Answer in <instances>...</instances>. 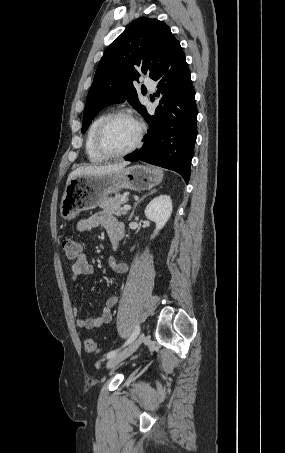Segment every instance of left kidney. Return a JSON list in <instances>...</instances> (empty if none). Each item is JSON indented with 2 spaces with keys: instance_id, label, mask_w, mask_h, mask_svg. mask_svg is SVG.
Instances as JSON below:
<instances>
[{
  "instance_id": "1",
  "label": "left kidney",
  "mask_w": 285,
  "mask_h": 453,
  "mask_svg": "<svg viewBox=\"0 0 285 453\" xmlns=\"http://www.w3.org/2000/svg\"><path fill=\"white\" fill-rule=\"evenodd\" d=\"M172 209V200L168 195H160L147 205L145 216L156 224V229L151 235V238H154L165 226L172 214Z\"/></svg>"
}]
</instances>
